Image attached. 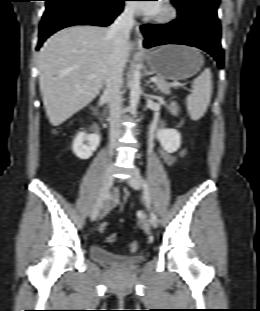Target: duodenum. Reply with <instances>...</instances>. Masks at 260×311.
<instances>
[{
	"instance_id": "410a0bca",
	"label": "duodenum",
	"mask_w": 260,
	"mask_h": 311,
	"mask_svg": "<svg viewBox=\"0 0 260 311\" xmlns=\"http://www.w3.org/2000/svg\"><path fill=\"white\" fill-rule=\"evenodd\" d=\"M89 109L94 115H96V116L101 115L100 108H99L98 103L96 101H93L90 103Z\"/></svg>"
}]
</instances>
